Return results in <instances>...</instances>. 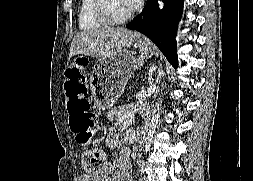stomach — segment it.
Listing matches in <instances>:
<instances>
[{"label": "stomach", "instance_id": "obj_1", "mask_svg": "<svg viewBox=\"0 0 253 181\" xmlns=\"http://www.w3.org/2000/svg\"><path fill=\"white\" fill-rule=\"evenodd\" d=\"M136 44L146 57L153 56L154 51L150 43L140 39ZM135 69V57L125 48L114 56L99 59L91 77L94 108L100 111L112 107Z\"/></svg>", "mask_w": 253, "mask_h": 181}]
</instances>
